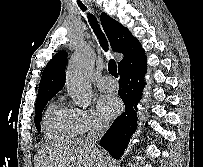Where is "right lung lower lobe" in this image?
<instances>
[{
  "label": "right lung lower lobe",
  "mask_w": 203,
  "mask_h": 167,
  "mask_svg": "<svg viewBox=\"0 0 203 167\" xmlns=\"http://www.w3.org/2000/svg\"><path fill=\"white\" fill-rule=\"evenodd\" d=\"M119 74L118 94L124 102L125 111L115 119L100 140V145L113 158H120L123 155L128 140L136 129V111L144 87L146 58L130 68L119 71Z\"/></svg>",
  "instance_id": "1"
}]
</instances>
